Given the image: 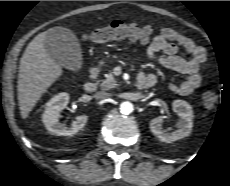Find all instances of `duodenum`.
I'll use <instances>...</instances> for the list:
<instances>
[{
    "label": "duodenum",
    "instance_id": "duodenum-1",
    "mask_svg": "<svg viewBox=\"0 0 230 186\" xmlns=\"http://www.w3.org/2000/svg\"><path fill=\"white\" fill-rule=\"evenodd\" d=\"M89 73H90V76H91V80L90 81H87L85 84H84V89L86 92L88 93H93L97 90V87H98V83H97V77L99 76L100 74V68L99 67H91L90 70H89ZM152 81L150 79H146V78H143V79H139L136 83V87L138 89H147L149 87L152 86Z\"/></svg>",
    "mask_w": 230,
    "mask_h": 186
}]
</instances>
